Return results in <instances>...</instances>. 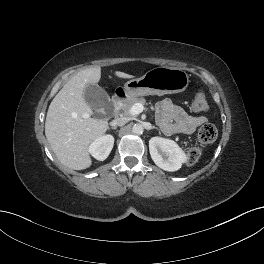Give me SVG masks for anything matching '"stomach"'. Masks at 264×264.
<instances>
[{"mask_svg":"<svg viewBox=\"0 0 264 264\" xmlns=\"http://www.w3.org/2000/svg\"><path fill=\"white\" fill-rule=\"evenodd\" d=\"M189 84L188 74L178 68L157 67L149 70L141 78L125 83L123 91L128 98L180 93Z\"/></svg>","mask_w":264,"mask_h":264,"instance_id":"obj_1","label":"stomach"}]
</instances>
